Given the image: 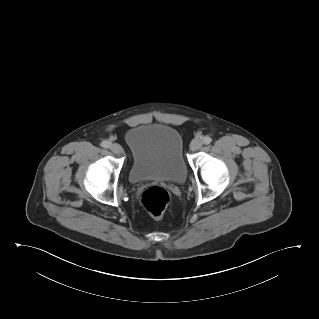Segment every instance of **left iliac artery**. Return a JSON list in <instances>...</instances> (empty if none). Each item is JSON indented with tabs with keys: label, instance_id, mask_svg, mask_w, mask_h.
I'll return each mask as SVG.
<instances>
[{
	"label": "left iliac artery",
	"instance_id": "left-iliac-artery-1",
	"mask_svg": "<svg viewBox=\"0 0 319 319\" xmlns=\"http://www.w3.org/2000/svg\"><path fill=\"white\" fill-rule=\"evenodd\" d=\"M212 141V139L209 136L204 137L203 142L204 144L208 145L210 144Z\"/></svg>",
	"mask_w": 319,
	"mask_h": 319
}]
</instances>
